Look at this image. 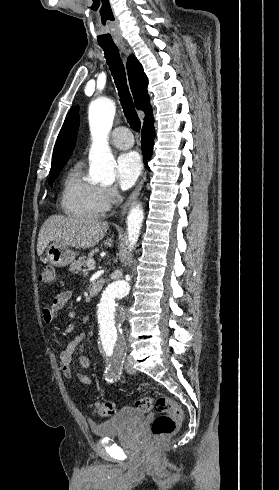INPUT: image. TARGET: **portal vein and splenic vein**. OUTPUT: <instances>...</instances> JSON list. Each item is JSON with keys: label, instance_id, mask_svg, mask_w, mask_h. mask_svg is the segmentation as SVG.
<instances>
[{"label": "portal vein and splenic vein", "instance_id": "18ae733b", "mask_svg": "<svg viewBox=\"0 0 279 490\" xmlns=\"http://www.w3.org/2000/svg\"><path fill=\"white\" fill-rule=\"evenodd\" d=\"M94 264H95L94 260H91V262H86L87 268H94Z\"/></svg>", "mask_w": 279, "mask_h": 490}]
</instances>
